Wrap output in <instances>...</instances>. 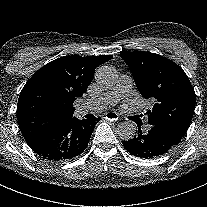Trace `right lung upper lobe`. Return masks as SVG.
<instances>
[{
	"mask_svg": "<svg viewBox=\"0 0 207 207\" xmlns=\"http://www.w3.org/2000/svg\"><path fill=\"white\" fill-rule=\"evenodd\" d=\"M111 55L65 56L40 68L23 87L17 104L21 133L30 142L73 117V103L90 85L97 66Z\"/></svg>",
	"mask_w": 207,
	"mask_h": 207,
	"instance_id": "cb5924a9",
	"label": "right lung upper lobe"
}]
</instances>
